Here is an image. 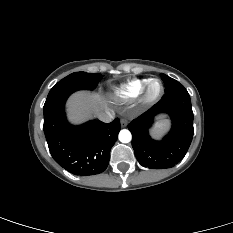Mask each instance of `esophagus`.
I'll return each mask as SVG.
<instances>
[{"label": "esophagus", "mask_w": 233, "mask_h": 233, "mask_svg": "<svg viewBox=\"0 0 233 233\" xmlns=\"http://www.w3.org/2000/svg\"><path fill=\"white\" fill-rule=\"evenodd\" d=\"M127 120L126 119H121V126L126 127L127 126Z\"/></svg>", "instance_id": "obj_1"}]
</instances>
